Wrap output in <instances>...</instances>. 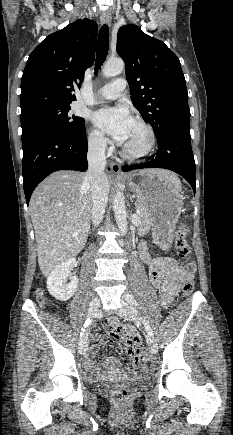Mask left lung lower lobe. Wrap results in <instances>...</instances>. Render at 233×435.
Masks as SVG:
<instances>
[{
	"label": "left lung lower lobe",
	"instance_id": "1",
	"mask_svg": "<svg viewBox=\"0 0 233 435\" xmlns=\"http://www.w3.org/2000/svg\"><path fill=\"white\" fill-rule=\"evenodd\" d=\"M158 150L152 156V160L136 164L125 165L123 171H130L142 168H164L172 170L182 177L192 186L195 194L196 173L195 161L191 148L190 128H180L169 131L157 138Z\"/></svg>",
	"mask_w": 233,
	"mask_h": 435
}]
</instances>
